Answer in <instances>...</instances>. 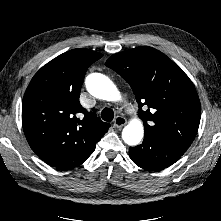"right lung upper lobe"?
<instances>
[{
    "instance_id": "obj_1",
    "label": "right lung upper lobe",
    "mask_w": 221,
    "mask_h": 221,
    "mask_svg": "<svg viewBox=\"0 0 221 221\" xmlns=\"http://www.w3.org/2000/svg\"><path fill=\"white\" fill-rule=\"evenodd\" d=\"M101 57L88 49L67 51L44 65L26 89L23 130L32 150L50 166L81 165L110 127L79 103L85 73Z\"/></svg>"
}]
</instances>
